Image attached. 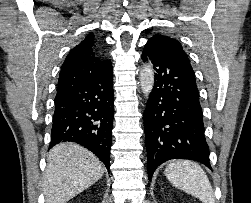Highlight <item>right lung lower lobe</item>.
Masks as SVG:
<instances>
[{
	"mask_svg": "<svg viewBox=\"0 0 251 203\" xmlns=\"http://www.w3.org/2000/svg\"><path fill=\"white\" fill-rule=\"evenodd\" d=\"M113 98L112 65L57 96L49 149L60 142H76L92 151L109 170Z\"/></svg>",
	"mask_w": 251,
	"mask_h": 203,
	"instance_id": "obj_1",
	"label": "right lung lower lobe"
}]
</instances>
